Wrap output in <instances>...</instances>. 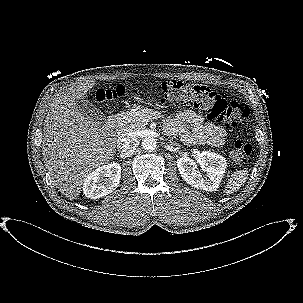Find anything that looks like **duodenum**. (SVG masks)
I'll return each instance as SVG.
<instances>
[{
	"label": "duodenum",
	"mask_w": 303,
	"mask_h": 303,
	"mask_svg": "<svg viewBox=\"0 0 303 303\" xmlns=\"http://www.w3.org/2000/svg\"><path fill=\"white\" fill-rule=\"evenodd\" d=\"M116 124H117V118L116 117H111L107 122L108 127H114Z\"/></svg>",
	"instance_id": "410a0bca"
}]
</instances>
